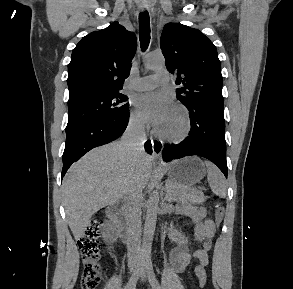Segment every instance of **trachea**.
<instances>
[{
	"label": "trachea",
	"instance_id": "3493384b",
	"mask_svg": "<svg viewBox=\"0 0 293 289\" xmlns=\"http://www.w3.org/2000/svg\"><path fill=\"white\" fill-rule=\"evenodd\" d=\"M139 38L141 49L144 51L150 43V19L147 11L139 15Z\"/></svg>",
	"mask_w": 293,
	"mask_h": 289
}]
</instances>
